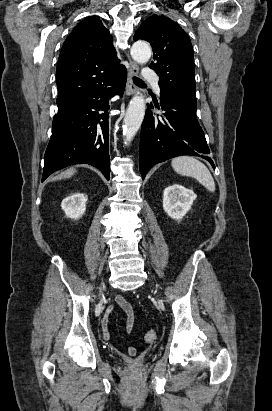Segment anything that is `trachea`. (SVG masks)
Masks as SVG:
<instances>
[{
	"mask_svg": "<svg viewBox=\"0 0 272 411\" xmlns=\"http://www.w3.org/2000/svg\"><path fill=\"white\" fill-rule=\"evenodd\" d=\"M133 82H134L135 84H142V83H144L141 79H139V78H137V77H133Z\"/></svg>",
	"mask_w": 272,
	"mask_h": 411,
	"instance_id": "obj_1",
	"label": "trachea"
}]
</instances>
